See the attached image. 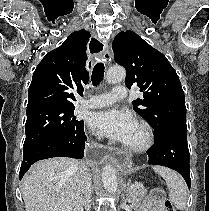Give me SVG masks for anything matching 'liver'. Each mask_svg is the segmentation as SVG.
<instances>
[{
    "instance_id": "liver-1",
    "label": "liver",
    "mask_w": 209,
    "mask_h": 211,
    "mask_svg": "<svg viewBox=\"0 0 209 211\" xmlns=\"http://www.w3.org/2000/svg\"><path fill=\"white\" fill-rule=\"evenodd\" d=\"M85 167L63 157L35 163L22 179L26 211H83Z\"/></svg>"
}]
</instances>
